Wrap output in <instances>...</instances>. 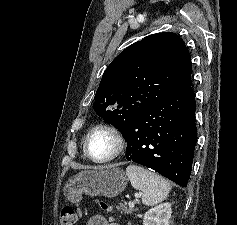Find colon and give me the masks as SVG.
Segmentation results:
<instances>
[{"label":"colon","mask_w":237,"mask_h":225,"mask_svg":"<svg viewBox=\"0 0 237 225\" xmlns=\"http://www.w3.org/2000/svg\"><path fill=\"white\" fill-rule=\"evenodd\" d=\"M101 206L104 210H110V207L105 203H102ZM77 220L78 216L73 207L65 206L62 208L60 214V225H76Z\"/></svg>","instance_id":"colon-1"}]
</instances>
